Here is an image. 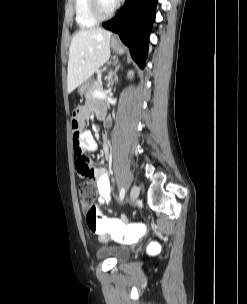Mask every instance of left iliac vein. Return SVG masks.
<instances>
[{"label":"left iliac vein","instance_id":"left-iliac-vein-1","mask_svg":"<svg viewBox=\"0 0 247 304\" xmlns=\"http://www.w3.org/2000/svg\"><path fill=\"white\" fill-rule=\"evenodd\" d=\"M140 189L137 185H133L130 192V200L131 202H135L139 196Z\"/></svg>","mask_w":247,"mask_h":304}]
</instances>
